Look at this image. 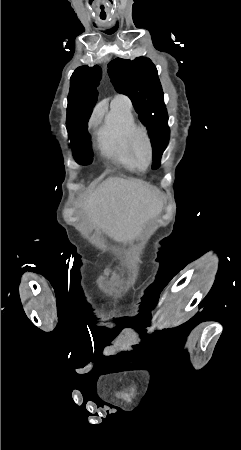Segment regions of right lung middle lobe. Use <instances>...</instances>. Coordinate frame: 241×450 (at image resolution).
<instances>
[{
  "label": "right lung middle lobe",
  "instance_id": "dd1d6c3e",
  "mask_svg": "<svg viewBox=\"0 0 241 450\" xmlns=\"http://www.w3.org/2000/svg\"><path fill=\"white\" fill-rule=\"evenodd\" d=\"M100 79L99 76L85 72L71 77L66 121L69 135H71L77 119L85 112H91L96 104L98 96L96 87L99 85ZM73 156L82 165L90 164L92 162L91 146L73 153Z\"/></svg>",
  "mask_w": 241,
  "mask_h": 450
}]
</instances>
